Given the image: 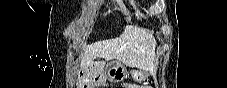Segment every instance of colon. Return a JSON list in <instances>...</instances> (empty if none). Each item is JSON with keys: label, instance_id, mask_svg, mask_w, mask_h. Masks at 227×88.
I'll use <instances>...</instances> for the list:
<instances>
[{"label": "colon", "instance_id": "5ec220e1", "mask_svg": "<svg viewBox=\"0 0 227 88\" xmlns=\"http://www.w3.org/2000/svg\"><path fill=\"white\" fill-rule=\"evenodd\" d=\"M126 87H129V88H131V87H133V86H129V85H128V86H126Z\"/></svg>", "mask_w": 227, "mask_h": 88}]
</instances>
